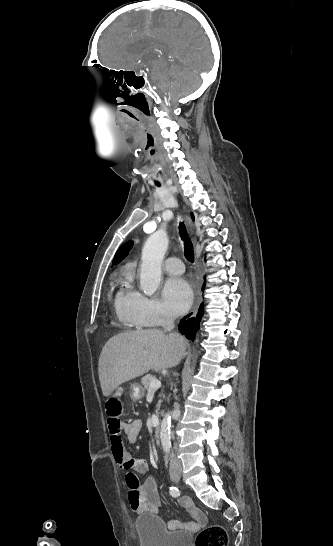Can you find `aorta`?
<instances>
[{
  "instance_id": "aorta-1",
  "label": "aorta",
  "mask_w": 333,
  "mask_h": 546,
  "mask_svg": "<svg viewBox=\"0 0 333 546\" xmlns=\"http://www.w3.org/2000/svg\"><path fill=\"white\" fill-rule=\"evenodd\" d=\"M168 247V237L164 230H158L147 239L142 250L140 287L151 296L161 280V265ZM161 446L164 452L171 449V413L166 412L160 429Z\"/></svg>"
}]
</instances>
